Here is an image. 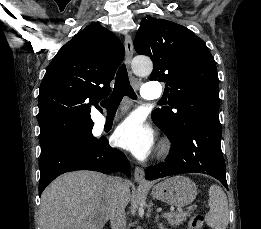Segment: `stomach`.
Masks as SVG:
<instances>
[{"label":"stomach","mask_w":261,"mask_h":229,"mask_svg":"<svg viewBox=\"0 0 261 229\" xmlns=\"http://www.w3.org/2000/svg\"><path fill=\"white\" fill-rule=\"evenodd\" d=\"M153 199L174 205V207H186L191 205L197 195V187L188 177H171L162 183L154 185L152 189Z\"/></svg>","instance_id":"1"}]
</instances>
